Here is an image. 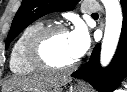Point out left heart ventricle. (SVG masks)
<instances>
[{
	"mask_svg": "<svg viewBox=\"0 0 127 92\" xmlns=\"http://www.w3.org/2000/svg\"><path fill=\"white\" fill-rule=\"evenodd\" d=\"M47 60L56 66H65L76 60L69 33H57L51 37L45 48Z\"/></svg>",
	"mask_w": 127,
	"mask_h": 92,
	"instance_id": "left-heart-ventricle-1",
	"label": "left heart ventricle"
}]
</instances>
